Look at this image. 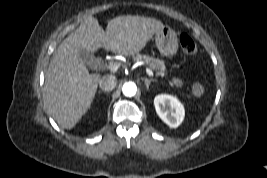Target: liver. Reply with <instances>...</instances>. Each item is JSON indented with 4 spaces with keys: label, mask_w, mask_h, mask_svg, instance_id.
I'll return each instance as SVG.
<instances>
[{
    "label": "liver",
    "mask_w": 267,
    "mask_h": 178,
    "mask_svg": "<svg viewBox=\"0 0 267 178\" xmlns=\"http://www.w3.org/2000/svg\"><path fill=\"white\" fill-rule=\"evenodd\" d=\"M163 27L152 18L121 16L111 19L104 31L98 20L89 16L51 58L45 76L47 113L62 128L72 129L91 106L101 79L99 74H89L82 54L108 47L116 54L134 55Z\"/></svg>",
    "instance_id": "liver-1"
}]
</instances>
